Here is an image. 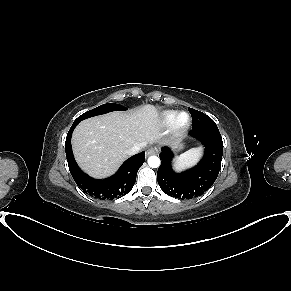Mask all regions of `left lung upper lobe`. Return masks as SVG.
<instances>
[{"mask_svg":"<svg viewBox=\"0 0 291 291\" xmlns=\"http://www.w3.org/2000/svg\"><path fill=\"white\" fill-rule=\"evenodd\" d=\"M188 110L192 116V125L194 127L205 126L206 124L212 122V119L204 113L192 108H188Z\"/></svg>","mask_w":291,"mask_h":291,"instance_id":"obj_1","label":"left lung upper lobe"}]
</instances>
